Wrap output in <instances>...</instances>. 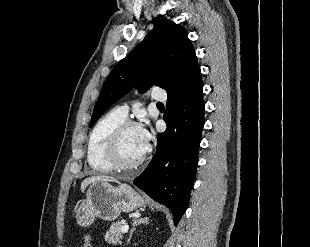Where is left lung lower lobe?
Masks as SVG:
<instances>
[{
  "label": "left lung lower lobe",
  "instance_id": "0a47b994",
  "mask_svg": "<svg viewBox=\"0 0 310 247\" xmlns=\"http://www.w3.org/2000/svg\"><path fill=\"white\" fill-rule=\"evenodd\" d=\"M200 68L168 92L164 120L167 129L157 141L155 156L133 183L171 209L177 225L187 209L194 183L204 126Z\"/></svg>",
  "mask_w": 310,
  "mask_h": 247
}]
</instances>
